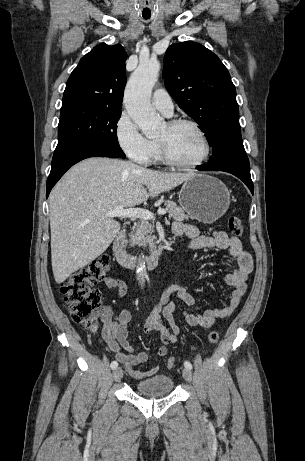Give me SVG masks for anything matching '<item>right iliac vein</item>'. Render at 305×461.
I'll use <instances>...</instances> for the list:
<instances>
[{
    "label": "right iliac vein",
    "instance_id": "right-iliac-vein-1",
    "mask_svg": "<svg viewBox=\"0 0 305 461\" xmlns=\"http://www.w3.org/2000/svg\"><path fill=\"white\" fill-rule=\"evenodd\" d=\"M123 376V371L121 368H115L113 371V379L114 381H120Z\"/></svg>",
    "mask_w": 305,
    "mask_h": 461
}]
</instances>
